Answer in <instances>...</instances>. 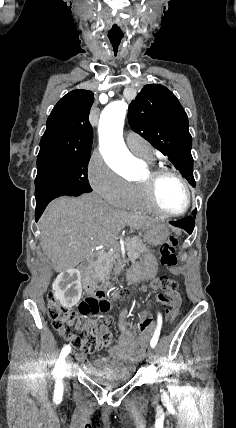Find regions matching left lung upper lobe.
Masks as SVG:
<instances>
[{
    "mask_svg": "<svg viewBox=\"0 0 236 428\" xmlns=\"http://www.w3.org/2000/svg\"><path fill=\"white\" fill-rule=\"evenodd\" d=\"M131 128L166 155L195 187L188 118L177 97L160 84L144 86L129 106Z\"/></svg>",
    "mask_w": 236,
    "mask_h": 428,
    "instance_id": "1",
    "label": "left lung upper lobe"
}]
</instances>
